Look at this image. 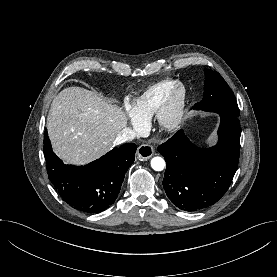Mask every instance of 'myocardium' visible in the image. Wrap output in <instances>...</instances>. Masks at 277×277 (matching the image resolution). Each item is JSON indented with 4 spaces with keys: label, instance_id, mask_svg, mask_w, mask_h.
Segmentation results:
<instances>
[{
    "label": "myocardium",
    "instance_id": "f54148a6",
    "mask_svg": "<svg viewBox=\"0 0 277 277\" xmlns=\"http://www.w3.org/2000/svg\"><path fill=\"white\" fill-rule=\"evenodd\" d=\"M186 101V87L176 82L155 113L156 123L161 130L173 131L180 127L184 119Z\"/></svg>",
    "mask_w": 277,
    "mask_h": 277
}]
</instances>
